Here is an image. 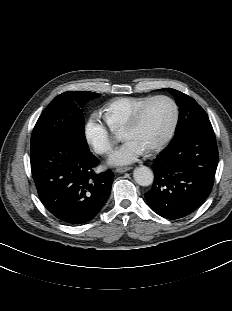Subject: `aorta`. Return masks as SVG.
I'll list each match as a JSON object with an SVG mask.
<instances>
[{"label":"aorta","mask_w":232,"mask_h":311,"mask_svg":"<svg viewBox=\"0 0 232 311\" xmlns=\"http://www.w3.org/2000/svg\"><path fill=\"white\" fill-rule=\"evenodd\" d=\"M134 180L141 186H149L153 183L154 174L152 170L146 166H140L134 169Z\"/></svg>","instance_id":"1"}]
</instances>
